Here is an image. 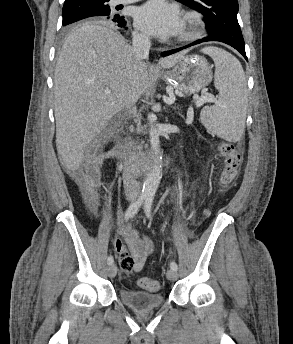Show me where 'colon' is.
<instances>
[{
    "mask_svg": "<svg viewBox=\"0 0 293 344\" xmlns=\"http://www.w3.org/2000/svg\"><path fill=\"white\" fill-rule=\"evenodd\" d=\"M219 151L224 158V167L220 176V184L223 190H227L236 180L242 162V154L239 148L230 142H223L219 145ZM206 212L205 216H208ZM139 285L150 291L159 288L156 280L143 278L139 280Z\"/></svg>",
    "mask_w": 293,
    "mask_h": 344,
    "instance_id": "colon-1",
    "label": "colon"
}]
</instances>
